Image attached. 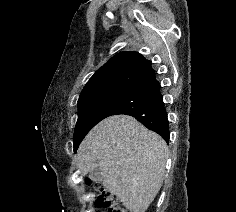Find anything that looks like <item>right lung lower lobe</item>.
Here are the masks:
<instances>
[{
  "instance_id": "1",
  "label": "right lung lower lobe",
  "mask_w": 236,
  "mask_h": 212,
  "mask_svg": "<svg viewBox=\"0 0 236 212\" xmlns=\"http://www.w3.org/2000/svg\"><path fill=\"white\" fill-rule=\"evenodd\" d=\"M160 88L155 72H152L132 88L129 96L115 109L112 115L133 116L168 142L169 122Z\"/></svg>"
}]
</instances>
